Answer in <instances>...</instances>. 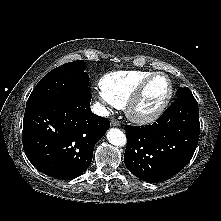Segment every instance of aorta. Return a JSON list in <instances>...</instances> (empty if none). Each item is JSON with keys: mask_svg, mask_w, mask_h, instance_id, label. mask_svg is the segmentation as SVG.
I'll use <instances>...</instances> for the list:
<instances>
[{"mask_svg": "<svg viewBox=\"0 0 221 221\" xmlns=\"http://www.w3.org/2000/svg\"><path fill=\"white\" fill-rule=\"evenodd\" d=\"M107 140L114 146L122 147L126 145L125 134L117 128H111L107 132Z\"/></svg>", "mask_w": 221, "mask_h": 221, "instance_id": "762f6f07", "label": "aorta"}]
</instances>
